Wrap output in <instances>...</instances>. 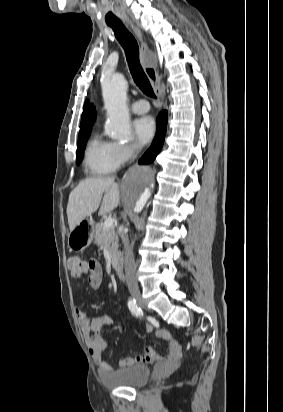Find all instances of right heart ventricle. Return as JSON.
<instances>
[{
    "instance_id": "e07e8e85",
    "label": "right heart ventricle",
    "mask_w": 283,
    "mask_h": 412,
    "mask_svg": "<svg viewBox=\"0 0 283 412\" xmlns=\"http://www.w3.org/2000/svg\"><path fill=\"white\" fill-rule=\"evenodd\" d=\"M114 146L115 143L94 136L85 150L86 169L93 175H106L114 172L119 167L114 155Z\"/></svg>"
}]
</instances>
